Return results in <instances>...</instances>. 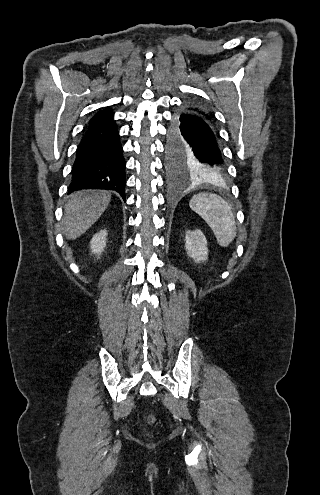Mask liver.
Instances as JSON below:
<instances>
[{"instance_id": "liver-1", "label": "liver", "mask_w": 320, "mask_h": 495, "mask_svg": "<svg viewBox=\"0 0 320 495\" xmlns=\"http://www.w3.org/2000/svg\"><path fill=\"white\" fill-rule=\"evenodd\" d=\"M110 201L111 193L103 190H80L71 194L62 220L65 237H80L97 221Z\"/></svg>"}]
</instances>
